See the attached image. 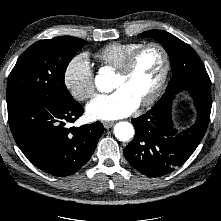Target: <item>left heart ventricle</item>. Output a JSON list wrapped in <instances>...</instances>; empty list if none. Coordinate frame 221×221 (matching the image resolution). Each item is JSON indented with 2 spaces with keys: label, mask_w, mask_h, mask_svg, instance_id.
<instances>
[{
  "label": "left heart ventricle",
  "mask_w": 221,
  "mask_h": 221,
  "mask_svg": "<svg viewBox=\"0 0 221 221\" xmlns=\"http://www.w3.org/2000/svg\"><path fill=\"white\" fill-rule=\"evenodd\" d=\"M163 69V58L155 48H149L138 57L132 72L115 75L113 88L128 92L138 103L147 99L155 90Z\"/></svg>",
  "instance_id": "b2bd125f"
}]
</instances>
